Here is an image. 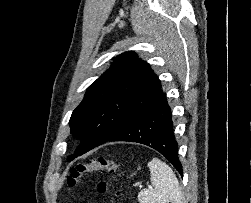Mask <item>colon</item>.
<instances>
[{
	"instance_id": "obj_1",
	"label": "colon",
	"mask_w": 251,
	"mask_h": 203,
	"mask_svg": "<svg viewBox=\"0 0 251 203\" xmlns=\"http://www.w3.org/2000/svg\"><path fill=\"white\" fill-rule=\"evenodd\" d=\"M119 169V164L116 161L104 157H94L71 168L67 177V184L70 189H74L81 178L88 173L105 171L115 177L118 175ZM98 191L101 194H107L110 191V184L107 181H101L98 184Z\"/></svg>"
}]
</instances>
